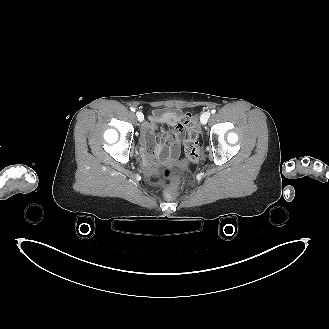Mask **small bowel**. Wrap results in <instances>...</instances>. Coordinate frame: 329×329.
<instances>
[{
  "label": "small bowel",
  "instance_id": "1",
  "mask_svg": "<svg viewBox=\"0 0 329 329\" xmlns=\"http://www.w3.org/2000/svg\"><path fill=\"white\" fill-rule=\"evenodd\" d=\"M183 115L180 109H157L150 114L142 129V142L151 157H161L168 162L179 157L184 140ZM160 123L165 125L164 129H160Z\"/></svg>",
  "mask_w": 329,
  "mask_h": 329
}]
</instances>
